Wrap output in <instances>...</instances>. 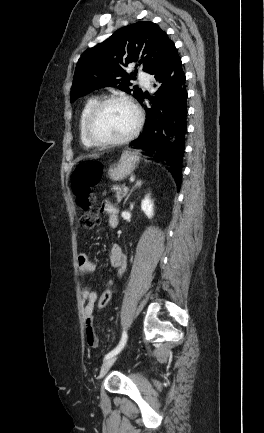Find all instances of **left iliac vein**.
I'll use <instances>...</instances> for the list:
<instances>
[{
	"label": "left iliac vein",
	"instance_id": "obj_1",
	"mask_svg": "<svg viewBox=\"0 0 264 433\" xmlns=\"http://www.w3.org/2000/svg\"><path fill=\"white\" fill-rule=\"evenodd\" d=\"M117 354H118V353H117ZM117 354H116V355H113V356H111V357H109V358H107V359L103 362V364H102V366H101V368H100L99 378H102V377L107 373V371L110 369V367L114 364V362H115L116 359H117Z\"/></svg>",
	"mask_w": 264,
	"mask_h": 433
}]
</instances>
